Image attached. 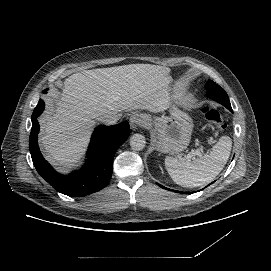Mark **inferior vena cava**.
Wrapping results in <instances>:
<instances>
[{"instance_id": "602c4592", "label": "inferior vena cava", "mask_w": 271, "mask_h": 271, "mask_svg": "<svg viewBox=\"0 0 271 271\" xmlns=\"http://www.w3.org/2000/svg\"><path fill=\"white\" fill-rule=\"evenodd\" d=\"M119 119H120V117L118 115L112 114V113H105V114L97 117V120L105 125L117 124Z\"/></svg>"}]
</instances>
